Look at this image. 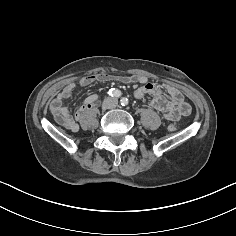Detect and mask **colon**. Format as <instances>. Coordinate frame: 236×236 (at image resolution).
Listing matches in <instances>:
<instances>
[{"label": "colon", "instance_id": "1", "mask_svg": "<svg viewBox=\"0 0 236 236\" xmlns=\"http://www.w3.org/2000/svg\"><path fill=\"white\" fill-rule=\"evenodd\" d=\"M169 129H170V130H175V126H174V125H170V126H169Z\"/></svg>", "mask_w": 236, "mask_h": 236}]
</instances>
